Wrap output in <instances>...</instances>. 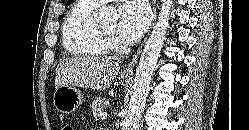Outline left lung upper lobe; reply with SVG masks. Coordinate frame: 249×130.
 I'll return each instance as SVG.
<instances>
[{
    "instance_id": "obj_1",
    "label": "left lung upper lobe",
    "mask_w": 249,
    "mask_h": 130,
    "mask_svg": "<svg viewBox=\"0 0 249 130\" xmlns=\"http://www.w3.org/2000/svg\"><path fill=\"white\" fill-rule=\"evenodd\" d=\"M72 2V0H68L67 5H69Z\"/></svg>"
}]
</instances>
